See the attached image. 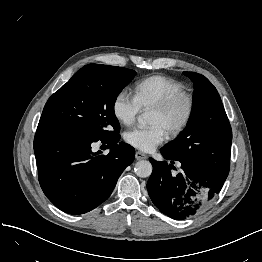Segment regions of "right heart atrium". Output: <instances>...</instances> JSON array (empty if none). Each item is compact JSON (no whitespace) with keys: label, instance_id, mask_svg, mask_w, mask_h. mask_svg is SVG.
I'll return each instance as SVG.
<instances>
[{"label":"right heart atrium","instance_id":"obj_1","mask_svg":"<svg viewBox=\"0 0 262 262\" xmlns=\"http://www.w3.org/2000/svg\"><path fill=\"white\" fill-rule=\"evenodd\" d=\"M140 111V105L135 97L129 92L122 90L115 97L113 102V113L120 123L124 125L132 124Z\"/></svg>","mask_w":262,"mask_h":262}]
</instances>
